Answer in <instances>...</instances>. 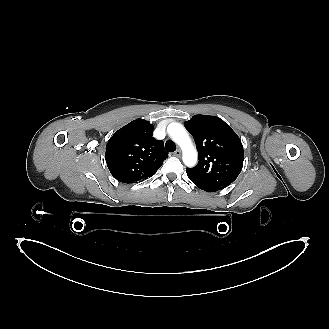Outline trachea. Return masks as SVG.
Wrapping results in <instances>:
<instances>
[{
    "instance_id": "trachea-1",
    "label": "trachea",
    "mask_w": 329,
    "mask_h": 329,
    "mask_svg": "<svg viewBox=\"0 0 329 329\" xmlns=\"http://www.w3.org/2000/svg\"><path fill=\"white\" fill-rule=\"evenodd\" d=\"M166 150L169 152H174L176 150V145L172 141H167L165 144Z\"/></svg>"
}]
</instances>
